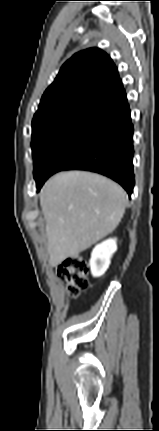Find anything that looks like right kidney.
Segmentation results:
<instances>
[{"instance_id":"right-kidney-1","label":"right kidney","mask_w":159,"mask_h":431,"mask_svg":"<svg viewBox=\"0 0 159 431\" xmlns=\"http://www.w3.org/2000/svg\"><path fill=\"white\" fill-rule=\"evenodd\" d=\"M116 250V239H108L98 244L93 249L90 259V268L94 277H100L107 271L111 257Z\"/></svg>"}]
</instances>
